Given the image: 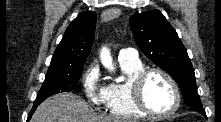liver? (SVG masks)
<instances>
[{"label":"liver","instance_id":"6515ba94","mask_svg":"<svg viewBox=\"0 0 221 122\" xmlns=\"http://www.w3.org/2000/svg\"><path fill=\"white\" fill-rule=\"evenodd\" d=\"M31 122H133L95 113L85 100L73 93H59L42 102Z\"/></svg>","mask_w":221,"mask_h":122}]
</instances>
